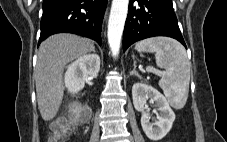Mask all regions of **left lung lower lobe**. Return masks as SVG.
I'll return each instance as SVG.
<instances>
[{
    "label": "left lung lower lobe",
    "mask_w": 227,
    "mask_h": 142,
    "mask_svg": "<svg viewBox=\"0 0 227 142\" xmlns=\"http://www.w3.org/2000/svg\"><path fill=\"white\" fill-rule=\"evenodd\" d=\"M153 36L172 37L186 47L172 0H130L123 34V51L133 43Z\"/></svg>",
    "instance_id": "left-lung-lower-lobe-1"
}]
</instances>
